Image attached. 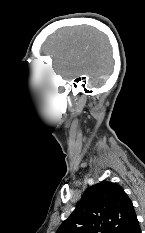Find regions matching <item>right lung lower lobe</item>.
Instances as JSON below:
<instances>
[{
    "label": "right lung lower lobe",
    "instance_id": "1",
    "mask_svg": "<svg viewBox=\"0 0 145 233\" xmlns=\"http://www.w3.org/2000/svg\"><path fill=\"white\" fill-rule=\"evenodd\" d=\"M125 233H141V229L137 218L133 220L132 224Z\"/></svg>",
    "mask_w": 145,
    "mask_h": 233
}]
</instances>
